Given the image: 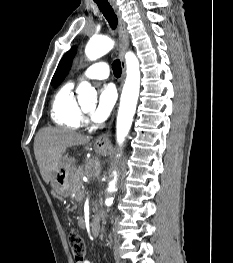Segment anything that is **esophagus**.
Wrapping results in <instances>:
<instances>
[{
  "instance_id": "obj_1",
  "label": "esophagus",
  "mask_w": 233,
  "mask_h": 263,
  "mask_svg": "<svg viewBox=\"0 0 233 263\" xmlns=\"http://www.w3.org/2000/svg\"><path fill=\"white\" fill-rule=\"evenodd\" d=\"M109 1L118 18V31H119V41H120V60H121V66H122V75H121L120 87H119V91H121L122 85L125 80V73H126V64H125L124 56H125L126 51L129 48V34H128L126 23L122 18L121 11L118 8L117 3L115 2V0H109ZM112 121L113 120L109 122L106 132L101 134L96 139V145L99 148L107 147L110 142V129H111Z\"/></svg>"
}]
</instances>
